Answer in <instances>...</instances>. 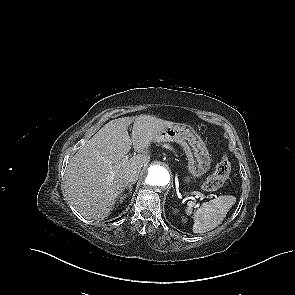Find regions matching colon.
I'll return each mask as SVG.
<instances>
[{
	"label": "colon",
	"mask_w": 295,
	"mask_h": 295,
	"mask_svg": "<svg viewBox=\"0 0 295 295\" xmlns=\"http://www.w3.org/2000/svg\"><path fill=\"white\" fill-rule=\"evenodd\" d=\"M231 172V163L227 157H222L217 163L214 172L203 183V190L207 192L219 189L228 179Z\"/></svg>",
	"instance_id": "obj_1"
}]
</instances>
